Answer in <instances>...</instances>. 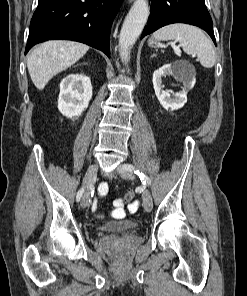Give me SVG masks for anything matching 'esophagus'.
<instances>
[{
	"label": "esophagus",
	"mask_w": 247,
	"mask_h": 296,
	"mask_svg": "<svg viewBox=\"0 0 247 296\" xmlns=\"http://www.w3.org/2000/svg\"><path fill=\"white\" fill-rule=\"evenodd\" d=\"M133 0H128V2H132Z\"/></svg>",
	"instance_id": "esophagus-1"
}]
</instances>
